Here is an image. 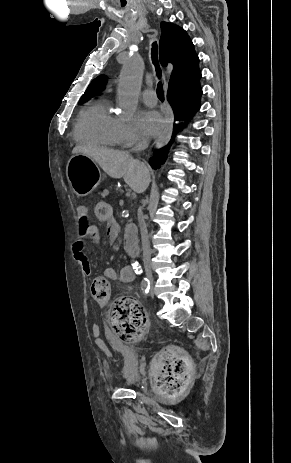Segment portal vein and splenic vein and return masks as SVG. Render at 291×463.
I'll list each match as a JSON object with an SVG mask.
<instances>
[{
  "mask_svg": "<svg viewBox=\"0 0 291 463\" xmlns=\"http://www.w3.org/2000/svg\"><path fill=\"white\" fill-rule=\"evenodd\" d=\"M120 204L122 205V204H123V201H121Z\"/></svg>",
  "mask_w": 291,
  "mask_h": 463,
  "instance_id": "obj_1",
  "label": "portal vein and splenic vein"
}]
</instances>
